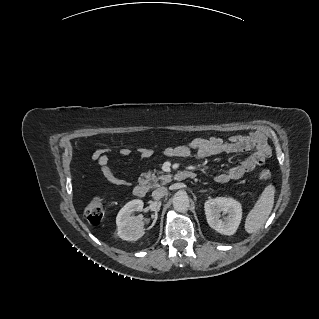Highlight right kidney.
<instances>
[{
  "mask_svg": "<svg viewBox=\"0 0 319 319\" xmlns=\"http://www.w3.org/2000/svg\"><path fill=\"white\" fill-rule=\"evenodd\" d=\"M144 203L140 199L129 201L117 214L118 236L127 241H135L145 234L142 216H133L135 211H142Z\"/></svg>",
  "mask_w": 319,
  "mask_h": 319,
  "instance_id": "1",
  "label": "right kidney"
}]
</instances>
